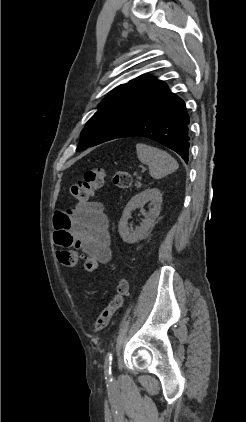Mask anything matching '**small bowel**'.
<instances>
[{"mask_svg": "<svg viewBox=\"0 0 246 422\" xmlns=\"http://www.w3.org/2000/svg\"><path fill=\"white\" fill-rule=\"evenodd\" d=\"M54 240L63 250H74L98 263L112 258L109 221L100 202H83L54 217Z\"/></svg>", "mask_w": 246, "mask_h": 422, "instance_id": "1", "label": "small bowel"}]
</instances>
